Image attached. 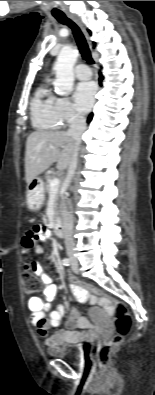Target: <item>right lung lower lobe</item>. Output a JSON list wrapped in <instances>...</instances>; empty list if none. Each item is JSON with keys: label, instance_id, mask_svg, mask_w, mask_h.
I'll use <instances>...</instances> for the list:
<instances>
[{"label": "right lung lower lobe", "instance_id": "obj_1", "mask_svg": "<svg viewBox=\"0 0 155 395\" xmlns=\"http://www.w3.org/2000/svg\"><path fill=\"white\" fill-rule=\"evenodd\" d=\"M102 79H103V77H102L101 74H100V78H99L100 84H101ZM92 116H93L92 114L89 115L88 120H87L88 122L91 121Z\"/></svg>", "mask_w": 155, "mask_h": 395}]
</instances>
